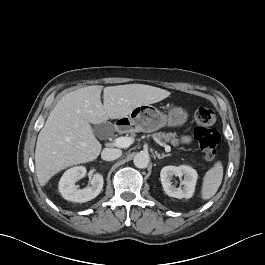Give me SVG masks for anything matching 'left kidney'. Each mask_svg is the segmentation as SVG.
Masks as SVG:
<instances>
[{"mask_svg": "<svg viewBox=\"0 0 265 265\" xmlns=\"http://www.w3.org/2000/svg\"><path fill=\"white\" fill-rule=\"evenodd\" d=\"M173 176L181 178L184 176L180 187L172 185ZM161 183L168 196L174 198H191L193 196L198 174L195 169L187 165L165 166L160 172Z\"/></svg>", "mask_w": 265, "mask_h": 265, "instance_id": "obj_1", "label": "left kidney"}]
</instances>
